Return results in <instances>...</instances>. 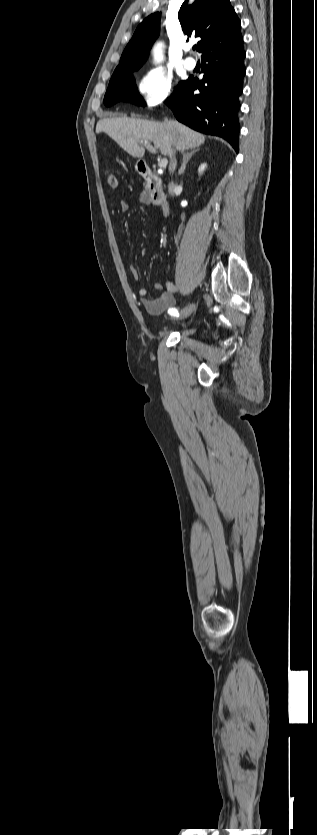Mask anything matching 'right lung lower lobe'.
<instances>
[{
    "label": "right lung lower lobe",
    "instance_id": "1",
    "mask_svg": "<svg viewBox=\"0 0 317 835\" xmlns=\"http://www.w3.org/2000/svg\"><path fill=\"white\" fill-rule=\"evenodd\" d=\"M201 58L203 79L189 78L166 103L178 121L226 139L238 152L237 112L246 71L242 35L211 46ZM196 89L201 93L194 95Z\"/></svg>",
    "mask_w": 317,
    "mask_h": 835
}]
</instances>
